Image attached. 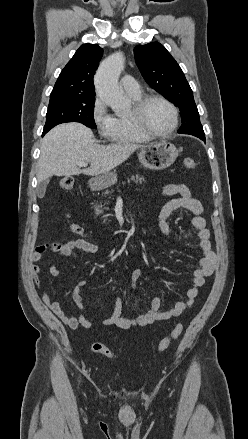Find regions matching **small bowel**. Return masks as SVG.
Masks as SVG:
<instances>
[{"instance_id":"c3829d8e","label":"small bowel","mask_w":248,"mask_h":439,"mask_svg":"<svg viewBox=\"0 0 248 439\" xmlns=\"http://www.w3.org/2000/svg\"><path fill=\"white\" fill-rule=\"evenodd\" d=\"M163 195L176 196L169 200L161 209L158 217V226L162 234L166 237H172V231L168 224V218L171 214L179 209L187 210L194 214L190 227L179 237L180 240L186 241L196 235L201 257L199 267L192 274V286L187 291L185 298L178 301L175 306L169 310L161 311V299L154 297L149 305L148 310L134 318L124 317L122 314V299L117 298L113 314L103 321L105 326L129 329L132 327H143L151 325L158 321L169 320L181 315L184 311L193 306L194 299L199 294L200 288L204 285L205 279L213 274L217 266V259L211 246V233L207 228V223L203 214L202 203L191 195L188 187L184 184H169L163 188ZM46 250L56 253L59 257L76 258L78 251L90 254L99 253L97 245L86 240L77 239L65 243H55L51 245H42L35 249L31 255V261L41 260ZM42 269L38 265H33L30 269L33 284L37 290L41 287L39 274ZM49 273L53 277H58L61 273L59 266L54 263L49 267ZM141 276V269L137 268L132 271L130 277V286L133 290L137 289V281ZM86 280H79L74 285L71 297L73 302L84 312V300L81 293L82 287L86 285ZM43 303L68 327L76 329L78 327L93 328L95 323L88 319L84 314L78 316L68 315L61 307L60 302L52 300L48 292L42 295Z\"/></svg>"}]
</instances>
